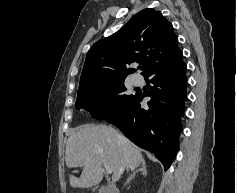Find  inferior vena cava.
<instances>
[{
	"label": "inferior vena cava",
	"instance_id": "obj_1",
	"mask_svg": "<svg viewBox=\"0 0 237 193\" xmlns=\"http://www.w3.org/2000/svg\"><path fill=\"white\" fill-rule=\"evenodd\" d=\"M119 138H120V139H123V136H122V135H120V136H119Z\"/></svg>",
	"mask_w": 237,
	"mask_h": 193
}]
</instances>
